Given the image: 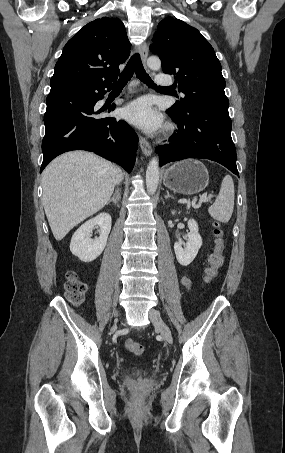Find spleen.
<instances>
[{"label":"spleen","instance_id":"obj_1","mask_svg":"<svg viewBox=\"0 0 285 453\" xmlns=\"http://www.w3.org/2000/svg\"><path fill=\"white\" fill-rule=\"evenodd\" d=\"M234 198L235 191L233 179L230 175H226L223 178L215 202L208 209L210 216L217 221L227 223L233 213Z\"/></svg>","mask_w":285,"mask_h":453}]
</instances>
